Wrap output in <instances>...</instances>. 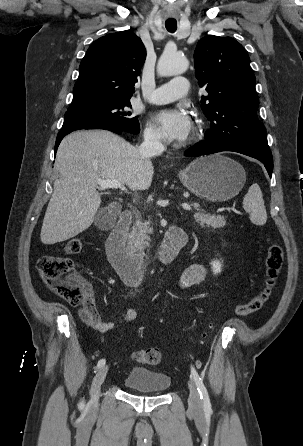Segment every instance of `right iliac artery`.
Instances as JSON below:
<instances>
[{
  "label": "right iliac artery",
  "instance_id": "82829eb1",
  "mask_svg": "<svg viewBox=\"0 0 303 446\" xmlns=\"http://www.w3.org/2000/svg\"><path fill=\"white\" fill-rule=\"evenodd\" d=\"M105 362H106L105 359H101V360H99L98 363H97L96 368H97V369L102 368V367L105 365Z\"/></svg>",
  "mask_w": 303,
  "mask_h": 446
}]
</instances>
